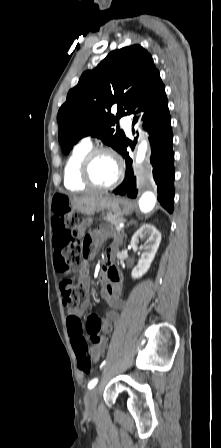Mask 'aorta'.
<instances>
[{
	"label": "aorta",
	"mask_w": 221,
	"mask_h": 448,
	"mask_svg": "<svg viewBox=\"0 0 221 448\" xmlns=\"http://www.w3.org/2000/svg\"><path fill=\"white\" fill-rule=\"evenodd\" d=\"M147 147L148 145L146 141H142L141 144L139 145L136 156L137 163H141L144 160ZM155 204H156V196L150 191H145L139 200V207L143 212H149L150 210L153 209Z\"/></svg>",
	"instance_id": "762f6f07"
}]
</instances>
